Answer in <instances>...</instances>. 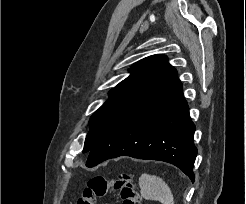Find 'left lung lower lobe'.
<instances>
[{
  "label": "left lung lower lobe",
  "instance_id": "obj_1",
  "mask_svg": "<svg viewBox=\"0 0 246 204\" xmlns=\"http://www.w3.org/2000/svg\"><path fill=\"white\" fill-rule=\"evenodd\" d=\"M194 132L182 84L175 78L112 124L89 151L86 166L119 156L159 160L194 182Z\"/></svg>",
  "mask_w": 246,
  "mask_h": 204
}]
</instances>
